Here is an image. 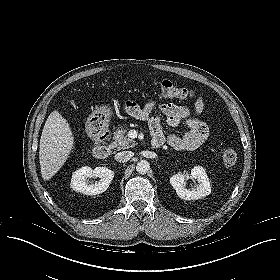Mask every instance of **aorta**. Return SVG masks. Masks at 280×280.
Wrapping results in <instances>:
<instances>
[{
	"label": "aorta",
	"mask_w": 280,
	"mask_h": 280,
	"mask_svg": "<svg viewBox=\"0 0 280 280\" xmlns=\"http://www.w3.org/2000/svg\"><path fill=\"white\" fill-rule=\"evenodd\" d=\"M150 169V163L147 160H140L136 165V170L140 174H146Z\"/></svg>",
	"instance_id": "obj_1"
}]
</instances>
